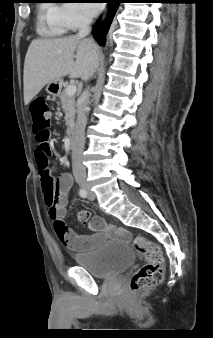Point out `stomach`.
<instances>
[{
  "label": "stomach",
  "mask_w": 213,
  "mask_h": 338,
  "mask_svg": "<svg viewBox=\"0 0 213 338\" xmlns=\"http://www.w3.org/2000/svg\"><path fill=\"white\" fill-rule=\"evenodd\" d=\"M61 86H62V80H56L47 85L46 91L50 95L56 96L59 93Z\"/></svg>",
  "instance_id": "obj_1"
}]
</instances>
